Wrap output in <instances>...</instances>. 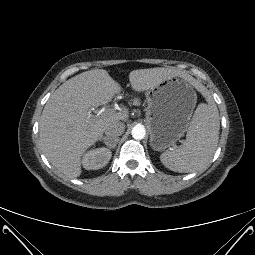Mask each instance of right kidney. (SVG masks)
<instances>
[{"label": "right kidney", "mask_w": 255, "mask_h": 255, "mask_svg": "<svg viewBox=\"0 0 255 255\" xmlns=\"http://www.w3.org/2000/svg\"><path fill=\"white\" fill-rule=\"evenodd\" d=\"M112 154L106 148H97L88 151L82 159V165L86 170H98L105 167Z\"/></svg>", "instance_id": "right-kidney-1"}]
</instances>
